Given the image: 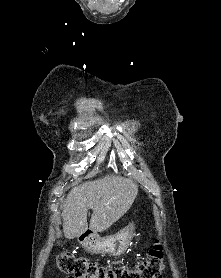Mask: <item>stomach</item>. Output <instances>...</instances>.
<instances>
[{
	"instance_id": "obj_1",
	"label": "stomach",
	"mask_w": 221,
	"mask_h": 278,
	"mask_svg": "<svg viewBox=\"0 0 221 278\" xmlns=\"http://www.w3.org/2000/svg\"><path fill=\"white\" fill-rule=\"evenodd\" d=\"M134 230V224L130 223L120 232L108 237L101 238L97 236L95 232H93L86 236L83 234L78 236V240L83 245L85 250L90 253L120 256L127 250L134 236Z\"/></svg>"
}]
</instances>
